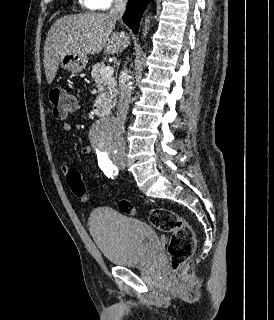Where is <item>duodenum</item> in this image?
<instances>
[{"label": "duodenum", "mask_w": 274, "mask_h": 320, "mask_svg": "<svg viewBox=\"0 0 274 320\" xmlns=\"http://www.w3.org/2000/svg\"><path fill=\"white\" fill-rule=\"evenodd\" d=\"M96 113L101 118H104L110 115V111L102 107L100 103H97Z\"/></svg>", "instance_id": "410a0bca"}]
</instances>
